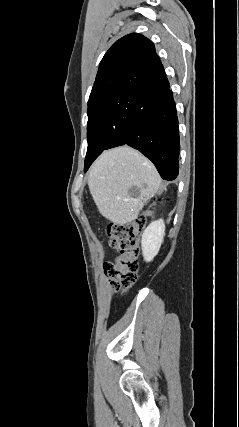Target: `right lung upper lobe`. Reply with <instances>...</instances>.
Here are the masks:
<instances>
[{"mask_svg":"<svg viewBox=\"0 0 239 427\" xmlns=\"http://www.w3.org/2000/svg\"><path fill=\"white\" fill-rule=\"evenodd\" d=\"M168 87L154 44L132 33L116 41L104 55L88 105L129 95L144 98Z\"/></svg>","mask_w":239,"mask_h":427,"instance_id":"cb5924a9","label":"right lung upper lobe"}]
</instances>
